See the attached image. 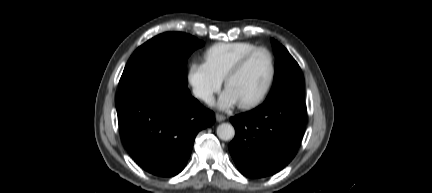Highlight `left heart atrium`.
Segmentation results:
<instances>
[{
	"label": "left heart atrium",
	"mask_w": 432,
	"mask_h": 193,
	"mask_svg": "<svg viewBox=\"0 0 432 193\" xmlns=\"http://www.w3.org/2000/svg\"><path fill=\"white\" fill-rule=\"evenodd\" d=\"M238 103L236 97L233 95L231 91L228 89L223 93V95L220 97L218 101V107L220 109H228L233 107Z\"/></svg>",
	"instance_id": "1"
}]
</instances>
